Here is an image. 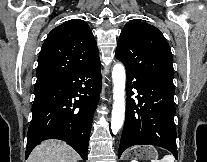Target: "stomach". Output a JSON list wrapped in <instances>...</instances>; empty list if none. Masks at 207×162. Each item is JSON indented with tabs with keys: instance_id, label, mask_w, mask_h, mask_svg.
I'll list each match as a JSON object with an SVG mask.
<instances>
[{
	"instance_id": "obj_1",
	"label": "stomach",
	"mask_w": 207,
	"mask_h": 162,
	"mask_svg": "<svg viewBox=\"0 0 207 162\" xmlns=\"http://www.w3.org/2000/svg\"><path fill=\"white\" fill-rule=\"evenodd\" d=\"M135 157L140 160L155 159L158 157L157 150L151 145L134 147L125 154V158Z\"/></svg>"
}]
</instances>
